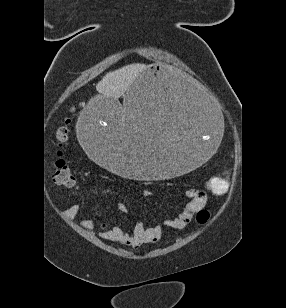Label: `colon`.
Returning <instances> with one entry per match:
<instances>
[{
	"label": "colon",
	"mask_w": 286,
	"mask_h": 308,
	"mask_svg": "<svg viewBox=\"0 0 286 308\" xmlns=\"http://www.w3.org/2000/svg\"><path fill=\"white\" fill-rule=\"evenodd\" d=\"M56 139L59 145L64 144L68 139V130L66 127H61L56 133ZM58 159L53 164V180L61 187L71 188L76 184L75 176L72 170L65 164L61 158V152L57 153ZM229 183L225 177H214L209 181L208 189L215 193L221 194L228 190ZM209 219V212L206 209H201L197 214V221L204 224Z\"/></svg>",
	"instance_id": "5ec220e1"
}]
</instances>
